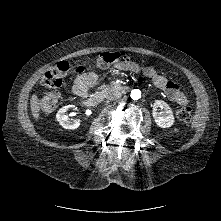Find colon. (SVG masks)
<instances>
[{
    "label": "colon",
    "instance_id": "1",
    "mask_svg": "<svg viewBox=\"0 0 221 221\" xmlns=\"http://www.w3.org/2000/svg\"><path fill=\"white\" fill-rule=\"evenodd\" d=\"M131 63V59L128 55L123 54L119 55L117 53L106 52L103 53L96 61V66L98 67H107L109 65L116 66L120 64L123 67L128 66ZM75 71L77 73H81L85 70L83 66H79L77 68H73L66 61H61L55 66L48 69L42 79V83L50 88L56 89L60 87L64 81V78L71 71ZM59 95L56 91L47 92L41 101V108L44 112H50L54 109L58 102ZM192 109L187 104H183L182 107L177 112V117L182 122H189L191 120Z\"/></svg>",
    "mask_w": 221,
    "mask_h": 221
}]
</instances>
